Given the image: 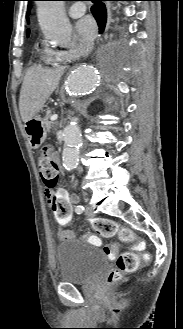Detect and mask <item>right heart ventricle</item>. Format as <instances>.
I'll return each mask as SVG.
<instances>
[{
    "instance_id": "e07e8e85",
    "label": "right heart ventricle",
    "mask_w": 183,
    "mask_h": 329,
    "mask_svg": "<svg viewBox=\"0 0 183 329\" xmlns=\"http://www.w3.org/2000/svg\"><path fill=\"white\" fill-rule=\"evenodd\" d=\"M40 59L46 64H53L60 60L58 52L48 47L42 49V51L40 52Z\"/></svg>"
}]
</instances>
